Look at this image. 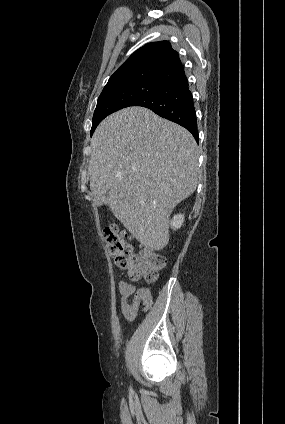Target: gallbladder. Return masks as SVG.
Masks as SVG:
<instances>
[{
    "mask_svg": "<svg viewBox=\"0 0 285 424\" xmlns=\"http://www.w3.org/2000/svg\"><path fill=\"white\" fill-rule=\"evenodd\" d=\"M105 196H106V198L109 197V190L106 191Z\"/></svg>",
    "mask_w": 285,
    "mask_h": 424,
    "instance_id": "1",
    "label": "gallbladder"
}]
</instances>
